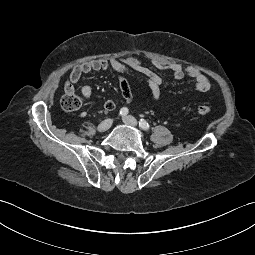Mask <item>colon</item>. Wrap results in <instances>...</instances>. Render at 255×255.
<instances>
[{
    "instance_id": "colon-1",
    "label": "colon",
    "mask_w": 255,
    "mask_h": 255,
    "mask_svg": "<svg viewBox=\"0 0 255 255\" xmlns=\"http://www.w3.org/2000/svg\"><path fill=\"white\" fill-rule=\"evenodd\" d=\"M61 107L68 112L79 110L83 105L82 98L74 91H65L60 99ZM196 111L200 115H209L212 108L209 105L201 104L196 107Z\"/></svg>"
}]
</instances>
